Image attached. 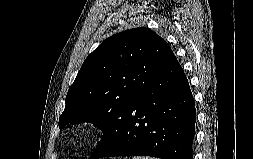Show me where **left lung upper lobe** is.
<instances>
[{"instance_id":"left-lung-upper-lobe-1","label":"left lung upper lobe","mask_w":253,"mask_h":159,"mask_svg":"<svg viewBox=\"0 0 253 159\" xmlns=\"http://www.w3.org/2000/svg\"><path fill=\"white\" fill-rule=\"evenodd\" d=\"M169 45L149 28L105 39L82 64L70 86L59 128L92 122L111 135L123 110L174 59Z\"/></svg>"}]
</instances>
